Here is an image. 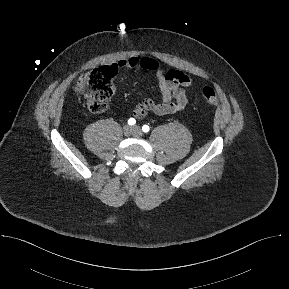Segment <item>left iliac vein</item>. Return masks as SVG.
<instances>
[{
    "instance_id": "1",
    "label": "left iliac vein",
    "mask_w": 289,
    "mask_h": 289,
    "mask_svg": "<svg viewBox=\"0 0 289 289\" xmlns=\"http://www.w3.org/2000/svg\"><path fill=\"white\" fill-rule=\"evenodd\" d=\"M133 135L134 136H142V131L139 126L133 127Z\"/></svg>"
}]
</instances>
